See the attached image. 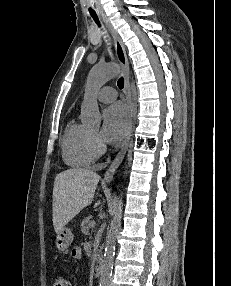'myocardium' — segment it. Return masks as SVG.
I'll return each instance as SVG.
<instances>
[{
    "label": "myocardium",
    "mask_w": 231,
    "mask_h": 286,
    "mask_svg": "<svg viewBox=\"0 0 231 286\" xmlns=\"http://www.w3.org/2000/svg\"><path fill=\"white\" fill-rule=\"evenodd\" d=\"M89 142L92 152L97 156L101 155L105 148L98 140L97 136L89 132Z\"/></svg>",
    "instance_id": "1"
}]
</instances>
